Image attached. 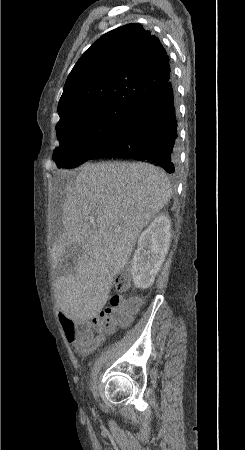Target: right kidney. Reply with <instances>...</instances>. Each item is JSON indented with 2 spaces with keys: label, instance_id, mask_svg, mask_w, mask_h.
<instances>
[{
  "label": "right kidney",
  "instance_id": "right-kidney-1",
  "mask_svg": "<svg viewBox=\"0 0 245 450\" xmlns=\"http://www.w3.org/2000/svg\"><path fill=\"white\" fill-rule=\"evenodd\" d=\"M171 222L166 215H158L138 239L131 274L137 288L150 287L170 246Z\"/></svg>",
  "mask_w": 245,
  "mask_h": 450
}]
</instances>
